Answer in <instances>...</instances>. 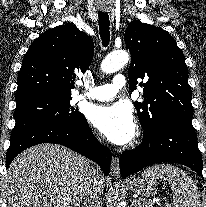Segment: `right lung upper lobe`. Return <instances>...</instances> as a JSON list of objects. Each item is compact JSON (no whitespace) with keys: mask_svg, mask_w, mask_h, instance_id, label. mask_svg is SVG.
I'll return each mask as SVG.
<instances>
[{"mask_svg":"<svg viewBox=\"0 0 206 207\" xmlns=\"http://www.w3.org/2000/svg\"><path fill=\"white\" fill-rule=\"evenodd\" d=\"M93 54L92 39L73 24L44 32L23 58L15 99L36 94L71 96L76 74L87 70Z\"/></svg>","mask_w":206,"mask_h":207,"instance_id":"obj_1","label":"right lung upper lobe"}]
</instances>
